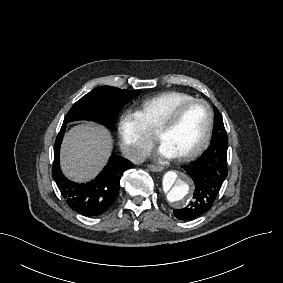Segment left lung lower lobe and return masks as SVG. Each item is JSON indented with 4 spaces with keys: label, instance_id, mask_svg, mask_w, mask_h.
<instances>
[{
    "label": "left lung lower lobe",
    "instance_id": "1",
    "mask_svg": "<svg viewBox=\"0 0 283 283\" xmlns=\"http://www.w3.org/2000/svg\"><path fill=\"white\" fill-rule=\"evenodd\" d=\"M227 142L222 117H215L211 146L196 161L184 167L192 178L195 189L190 204L174 210V215L178 219H194L213 206L228 173Z\"/></svg>",
    "mask_w": 283,
    "mask_h": 283
}]
</instances>
